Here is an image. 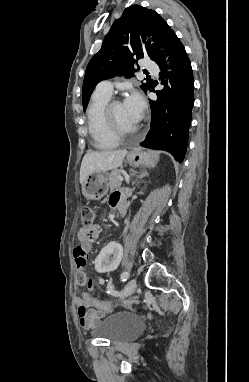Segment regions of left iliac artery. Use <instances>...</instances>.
I'll return each mask as SVG.
<instances>
[{
    "mask_svg": "<svg viewBox=\"0 0 249 382\" xmlns=\"http://www.w3.org/2000/svg\"><path fill=\"white\" fill-rule=\"evenodd\" d=\"M128 278H129V274H128V272H123V273L121 274V281H122V282H125ZM109 290L111 291V293H114V291L112 290V288L109 289Z\"/></svg>",
    "mask_w": 249,
    "mask_h": 382,
    "instance_id": "left-iliac-artery-1",
    "label": "left iliac artery"
}]
</instances>
